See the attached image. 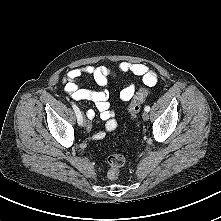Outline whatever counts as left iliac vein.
Masks as SVG:
<instances>
[{"instance_id": "left-iliac-vein-1", "label": "left iliac vein", "mask_w": 221, "mask_h": 221, "mask_svg": "<svg viewBox=\"0 0 221 221\" xmlns=\"http://www.w3.org/2000/svg\"><path fill=\"white\" fill-rule=\"evenodd\" d=\"M142 118L143 120L147 121L149 119V113L147 111L143 112Z\"/></svg>"}]
</instances>
